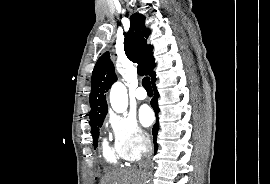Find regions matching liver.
I'll use <instances>...</instances> for the list:
<instances>
[{
    "label": "liver",
    "instance_id": "6515ba94",
    "mask_svg": "<svg viewBox=\"0 0 270 184\" xmlns=\"http://www.w3.org/2000/svg\"><path fill=\"white\" fill-rule=\"evenodd\" d=\"M143 178L141 170L122 169L107 173L100 184H142Z\"/></svg>",
    "mask_w": 270,
    "mask_h": 184
}]
</instances>
